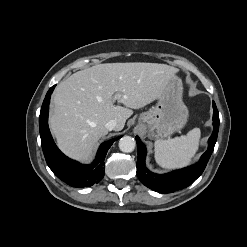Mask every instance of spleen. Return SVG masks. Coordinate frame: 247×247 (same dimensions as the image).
<instances>
[{
  "instance_id": "3e777b00",
  "label": "spleen",
  "mask_w": 247,
  "mask_h": 247,
  "mask_svg": "<svg viewBox=\"0 0 247 247\" xmlns=\"http://www.w3.org/2000/svg\"><path fill=\"white\" fill-rule=\"evenodd\" d=\"M200 137V129L194 128L185 136L157 140L154 144L156 162L165 169H178L189 165L198 151Z\"/></svg>"
}]
</instances>
